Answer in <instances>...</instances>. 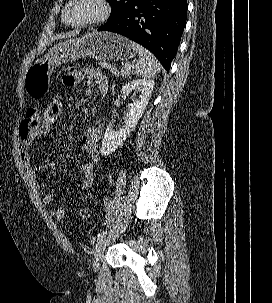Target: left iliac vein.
Masks as SVG:
<instances>
[{
    "label": "left iliac vein",
    "mask_w": 272,
    "mask_h": 303,
    "mask_svg": "<svg viewBox=\"0 0 272 303\" xmlns=\"http://www.w3.org/2000/svg\"><path fill=\"white\" fill-rule=\"evenodd\" d=\"M109 241V238L102 237L100 239H98V241L96 242L95 246H94V261H93V267L96 270L99 266V261L103 255V252L105 250V247L107 245Z\"/></svg>",
    "instance_id": "left-iliac-vein-1"
}]
</instances>
